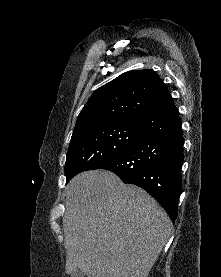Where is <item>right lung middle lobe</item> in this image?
I'll use <instances>...</instances> for the list:
<instances>
[{
	"label": "right lung middle lobe",
	"instance_id": "1",
	"mask_svg": "<svg viewBox=\"0 0 221 277\" xmlns=\"http://www.w3.org/2000/svg\"><path fill=\"white\" fill-rule=\"evenodd\" d=\"M138 134V122L92 127L72 135L67 152V182L76 174L99 169L122 157Z\"/></svg>",
	"mask_w": 221,
	"mask_h": 277
}]
</instances>
